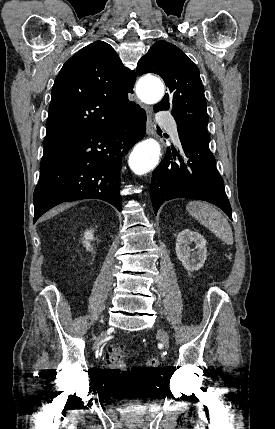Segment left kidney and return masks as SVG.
I'll list each match as a JSON object with an SVG mask.
<instances>
[{"label": "left kidney", "mask_w": 275, "mask_h": 429, "mask_svg": "<svg viewBox=\"0 0 275 429\" xmlns=\"http://www.w3.org/2000/svg\"><path fill=\"white\" fill-rule=\"evenodd\" d=\"M194 242L195 249L191 250L189 245ZM206 240L198 232L189 229L182 230L176 239V255L183 267L188 271H196L203 267L207 258Z\"/></svg>", "instance_id": "obj_1"}]
</instances>
